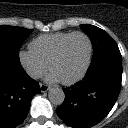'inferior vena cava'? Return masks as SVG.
Wrapping results in <instances>:
<instances>
[{
    "instance_id": "1",
    "label": "inferior vena cava",
    "mask_w": 128,
    "mask_h": 128,
    "mask_svg": "<svg viewBox=\"0 0 128 128\" xmlns=\"http://www.w3.org/2000/svg\"><path fill=\"white\" fill-rule=\"evenodd\" d=\"M27 74L34 79H38L42 77L41 71L33 69V68L27 69Z\"/></svg>"
}]
</instances>
